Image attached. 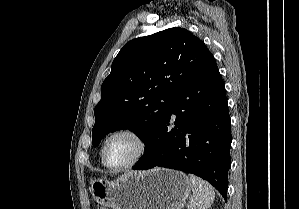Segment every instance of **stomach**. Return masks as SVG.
I'll use <instances>...</instances> for the list:
<instances>
[{
    "mask_svg": "<svg viewBox=\"0 0 299 209\" xmlns=\"http://www.w3.org/2000/svg\"><path fill=\"white\" fill-rule=\"evenodd\" d=\"M90 192L98 209H182L191 184L183 172L154 168L126 173L115 181L91 180Z\"/></svg>",
    "mask_w": 299,
    "mask_h": 209,
    "instance_id": "1",
    "label": "stomach"
}]
</instances>
